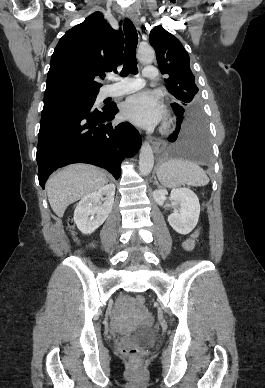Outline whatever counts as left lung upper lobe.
I'll return each mask as SVG.
<instances>
[{"instance_id": "left-lung-upper-lobe-1", "label": "left lung upper lobe", "mask_w": 265, "mask_h": 388, "mask_svg": "<svg viewBox=\"0 0 265 388\" xmlns=\"http://www.w3.org/2000/svg\"><path fill=\"white\" fill-rule=\"evenodd\" d=\"M149 42L157 56L162 74L166 75L165 83L168 91L185 109H200L201 100L195 77L190 69V59L182 43L162 26L154 27L149 35Z\"/></svg>"}]
</instances>
